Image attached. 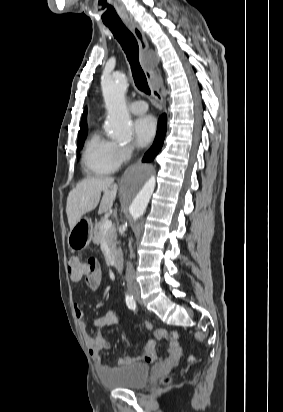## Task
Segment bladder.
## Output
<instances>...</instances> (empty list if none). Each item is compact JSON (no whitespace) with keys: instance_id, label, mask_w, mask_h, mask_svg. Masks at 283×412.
Here are the masks:
<instances>
[{"instance_id":"obj_1","label":"bladder","mask_w":283,"mask_h":412,"mask_svg":"<svg viewBox=\"0 0 283 412\" xmlns=\"http://www.w3.org/2000/svg\"><path fill=\"white\" fill-rule=\"evenodd\" d=\"M150 367L133 364L109 368L101 374L102 383L112 389H138L148 383Z\"/></svg>"}]
</instances>
